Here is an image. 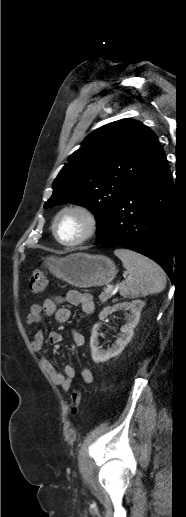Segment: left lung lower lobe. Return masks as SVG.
Wrapping results in <instances>:
<instances>
[{
    "mask_svg": "<svg viewBox=\"0 0 186 517\" xmlns=\"http://www.w3.org/2000/svg\"><path fill=\"white\" fill-rule=\"evenodd\" d=\"M174 185L161 148L115 206L95 245L128 248L156 261L173 280Z\"/></svg>",
    "mask_w": 186,
    "mask_h": 517,
    "instance_id": "1",
    "label": "left lung lower lobe"
}]
</instances>
